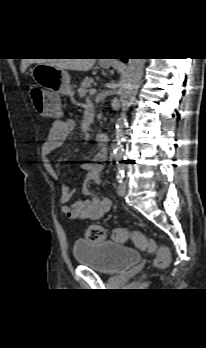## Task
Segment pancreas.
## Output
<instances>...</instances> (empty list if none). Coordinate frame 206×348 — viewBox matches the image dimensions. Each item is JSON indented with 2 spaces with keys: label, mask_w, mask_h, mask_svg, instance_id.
<instances>
[{
  "label": "pancreas",
  "mask_w": 206,
  "mask_h": 348,
  "mask_svg": "<svg viewBox=\"0 0 206 348\" xmlns=\"http://www.w3.org/2000/svg\"><path fill=\"white\" fill-rule=\"evenodd\" d=\"M91 83H92V78H88V77H86L82 81L78 89V93L81 97H84L90 91ZM98 118L101 119V114H99Z\"/></svg>",
  "instance_id": "pancreas-1"
}]
</instances>
